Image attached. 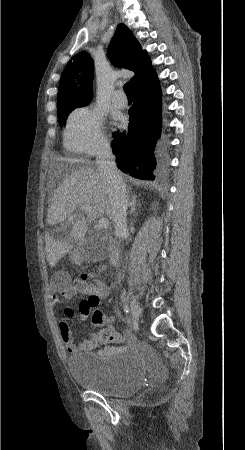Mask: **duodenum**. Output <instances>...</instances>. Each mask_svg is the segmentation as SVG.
I'll use <instances>...</instances> for the list:
<instances>
[{
	"label": "duodenum",
	"mask_w": 245,
	"mask_h": 450,
	"mask_svg": "<svg viewBox=\"0 0 245 450\" xmlns=\"http://www.w3.org/2000/svg\"><path fill=\"white\" fill-rule=\"evenodd\" d=\"M106 232H108V231H106ZM84 240H85L84 238L80 239L81 242H83ZM111 246H112V248H111V252L109 255V261L112 266L118 267L120 265V253H119V250L117 249L115 243L111 242Z\"/></svg>",
	"instance_id": "1"
}]
</instances>
